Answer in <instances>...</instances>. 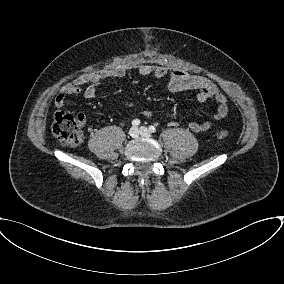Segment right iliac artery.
<instances>
[{
    "label": "right iliac artery",
    "instance_id": "82829eb1",
    "mask_svg": "<svg viewBox=\"0 0 284 284\" xmlns=\"http://www.w3.org/2000/svg\"><path fill=\"white\" fill-rule=\"evenodd\" d=\"M132 125H133L134 127L139 126V125H140V120H139V119H134V120L132 121Z\"/></svg>",
    "mask_w": 284,
    "mask_h": 284
}]
</instances>
